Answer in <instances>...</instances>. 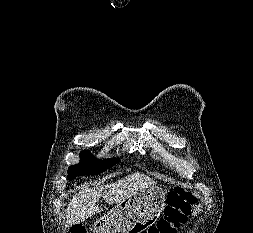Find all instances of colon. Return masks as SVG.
<instances>
[{
    "mask_svg": "<svg viewBox=\"0 0 253 233\" xmlns=\"http://www.w3.org/2000/svg\"><path fill=\"white\" fill-rule=\"evenodd\" d=\"M196 198L183 189L175 188L167 195V205L163 217L155 226L150 227L143 233H176L187 220ZM71 233H87L86 228L81 224L72 227Z\"/></svg>",
    "mask_w": 253,
    "mask_h": 233,
    "instance_id": "1",
    "label": "colon"
}]
</instances>
